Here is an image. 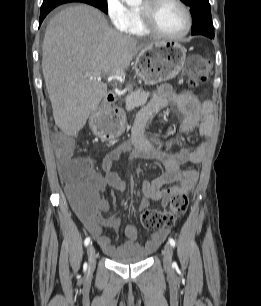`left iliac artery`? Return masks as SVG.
Here are the masks:
<instances>
[{"label": "left iliac artery", "mask_w": 261, "mask_h": 306, "mask_svg": "<svg viewBox=\"0 0 261 306\" xmlns=\"http://www.w3.org/2000/svg\"><path fill=\"white\" fill-rule=\"evenodd\" d=\"M169 243L172 247H175V245H176V242L173 238H169Z\"/></svg>", "instance_id": "44dca946"}]
</instances>
